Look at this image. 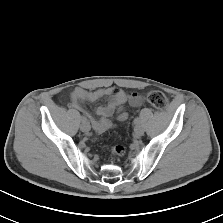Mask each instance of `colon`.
Instances as JSON below:
<instances>
[{"instance_id":"obj_1","label":"colon","mask_w":223,"mask_h":223,"mask_svg":"<svg viewBox=\"0 0 223 223\" xmlns=\"http://www.w3.org/2000/svg\"><path fill=\"white\" fill-rule=\"evenodd\" d=\"M147 100L149 104L157 109V110H164L168 105L167 98L165 95L159 91H151L147 94ZM112 152L118 156H123L126 152L125 147L122 145H117L112 147Z\"/></svg>"}]
</instances>
